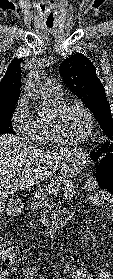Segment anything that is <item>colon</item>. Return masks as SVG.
<instances>
[{
	"mask_svg": "<svg viewBox=\"0 0 113 279\" xmlns=\"http://www.w3.org/2000/svg\"><path fill=\"white\" fill-rule=\"evenodd\" d=\"M98 162L96 183L100 191L113 194V145L103 144L93 152ZM22 260L21 251L15 247H6L0 240V275L9 264H18Z\"/></svg>",
	"mask_w": 113,
	"mask_h": 279,
	"instance_id": "colon-1",
	"label": "colon"
}]
</instances>
